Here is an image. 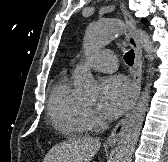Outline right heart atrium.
Returning <instances> with one entry per match:
<instances>
[{
	"mask_svg": "<svg viewBox=\"0 0 168 162\" xmlns=\"http://www.w3.org/2000/svg\"><path fill=\"white\" fill-rule=\"evenodd\" d=\"M86 119L90 126H95L98 123V118L91 108H87L86 110Z\"/></svg>",
	"mask_w": 168,
	"mask_h": 162,
	"instance_id": "obj_1",
	"label": "right heart atrium"
}]
</instances>
